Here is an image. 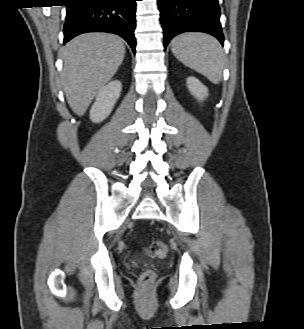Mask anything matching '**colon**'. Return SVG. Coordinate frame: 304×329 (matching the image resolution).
I'll return each mask as SVG.
<instances>
[{"instance_id":"5ec220e1","label":"colon","mask_w":304,"mask_h":329,"mask_svg":"<svg viewBox=\"0 0 304 329\" xmlns=\"http://www.w3.org/2000/svg\"><path fill=\"white\" fill-rule=\"evenodd\" d=\"M145 250L147 254L158 259H163L168 254V247L162 241L152 242L145 248ZM130 265L133 266L134 263L131 262ZM154 279H155V272L151 269L144 270L139 277V281L142 285L151 284L154 281Z\"/></svg>"}]
</instances>
